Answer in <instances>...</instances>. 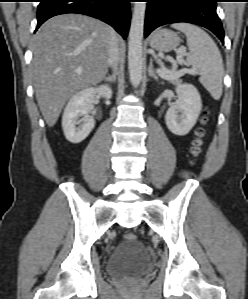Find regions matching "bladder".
I'll return each instance as SVG.
<instances>
[{
    "mask_svg": "<svg viewBox=\"0 0 248 299\" xmlns=\"http://www.w3.org/2000/svg\"><path fill=\"white\" fill-rule=\"evenodd\" d=\"M150 268L151 259L139 241L120 243L106 261V272L114 277H138Z\"/></svg>",
    "mask_w": 248,
    "mask_h": 299,
    "instance_id": "1",
    "label": "bladder"
}]
</instances>
